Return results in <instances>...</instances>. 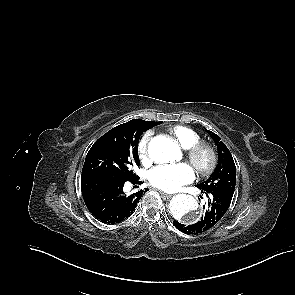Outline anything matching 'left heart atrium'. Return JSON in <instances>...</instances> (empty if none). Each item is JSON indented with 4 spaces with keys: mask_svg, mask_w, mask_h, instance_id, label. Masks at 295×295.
<instances>
[{
    "mask_svg": "<svg viewBox=\"0 0 295 295\" xmlns=\"http://www.w3.org/2000/svg\"><path fill=\"white\" fill-rule=\"evenodd\" d=\"M194 179L195 172L187 163L160 165L149 173L150 183L167 192H175Z\"/></svg>",
    "mask_w": 295,
    "mask_h": 295,
    "instance_id": "39dd6f15",
    "label": "left heart atrium"
}]
</instances>
